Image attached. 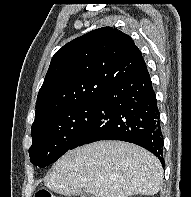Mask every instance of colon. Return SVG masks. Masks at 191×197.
<instances>
[{
  "mask_svg": "<svg viewBox=\"0 0 191 197\" xmlns=\"http://www.w3.org/2000/svg\"><path fill=\"white\" fill-rule=\"evenodd\" d=\"M35 197H57L48 190L42 189L36 192Z\"/></svg>",
  "mask_w": 191,
  "mask_h": 197,
  "instance_id": "obj_1",
  "label": "colon"
}]
</instances>
